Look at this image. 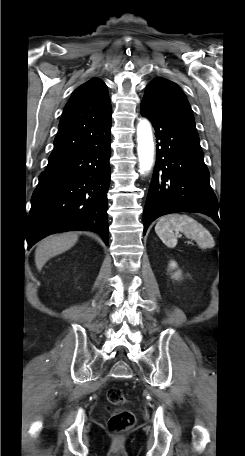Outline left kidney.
<instances>
[{
	"label": "left kidney",
	"mask_w": 245,
	"mask_h": 456,
	"mask_svg": "<svg viewBox=\"0 0 245 456\" xmlns=\"http://www.w3.org/2000/svg\"><path fill=\"white\" fill-rule=\"evenodd\" d=\"M170 267L173 268V269H175V268L177 267L176 262H175V261H171ZM179 276H180V272H177V273L174 274V278H176V279H177Z\"/></svg>",
	"instance_id": "left-kidney-1"
}]
</instances>
